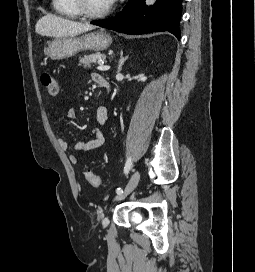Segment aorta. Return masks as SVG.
Segmentation results:
<instances>
[{"instance_id":"1","label":"aorta","mask_w":255,"mask_h":272,"mask_svg":"<svg viewBox=\"0 0 255 272\" xmlns=\"http://www.w3.org/2000/svg\"><path fill=\"white\" fill-rule=\"evenodd\" d=\"M148 4H152L155 0H146Z\"/></svg>"}]
</instances>
